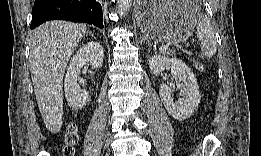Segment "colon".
<instances>
[{
    "mask_svg": "<svg viewBox=\"0 0 261 156\" xmlns=\"http://www.w3.org/2000/svg\"><path fill=\"white\" fill-rule=\"evenodd\" d=\"M78 129L75 123H70L65 132L64 155H73L74 148L78 142Z\"/></svg>",
    "mask_w": 261,
    "mask_h": 156,
    "instance_id": "5ec220e1",
    "label": "colon"
}]
</instances>
